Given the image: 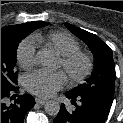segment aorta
I'll list each match as a JSON object with an SVG mask.
<instances>
[{"mask_svg": "<svg viewBox=\"0 0 123 123\" xmlns=\"http://www.w3.org/2000/svg\"><path fill=\"white\" fill-rule=\"evenodd\" d=\"M37 62L42 66H52L54 57L48 51H41L36 55ZM45 112L51 116H56L60 110V104L57 101L50 100L45 104Z\"/></svg>", "mask_w": 123, "mask_h": 123, "instance_id": "aorta-1", "label": "aorta"}]
</instances>
